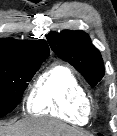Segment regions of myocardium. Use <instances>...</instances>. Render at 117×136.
Wrapping results in <instances>:
<instances>
[{
  "mask_svg": "<svg viewBox=\"0 0 117 136\" xmlns=\"http://www.w3.org/2000/svg\"><path fill=\"white\" fill-rule=\"evenodd\" d=\"M81 113L87 118L91 117L93 115V109L91 105L88 103L86 106H84L81 110Z\"/></svg>",
  "mask_w": 117,
  "mask_h": 136,
  "instance_id": "myocardium-1",
  "label": "myocardium"
}]
</instances>
